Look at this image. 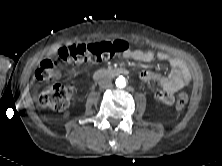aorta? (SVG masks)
I'll return each mask as SVG.
<instances>
[{
    "instance_id": "aorta-1",
    "label": "aorta",
    "mask_w": 222,
    "mask_h": 166,
    "mask_svg": "<svg viewBox=\"0 0 222 166\" xmlns=\"http://www.w3.org/2000/svg\"><path fill=\"white\" fill-rule=\"evenodd\" d=\"M116 86L120 87V88H123L126 86V79L125 77L123 76H119L117 79H116Z\"/></svg>"
}]
</instances>
